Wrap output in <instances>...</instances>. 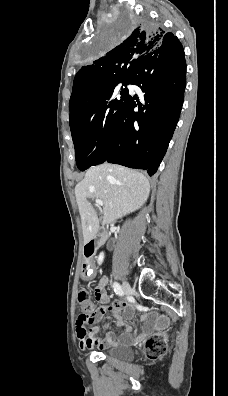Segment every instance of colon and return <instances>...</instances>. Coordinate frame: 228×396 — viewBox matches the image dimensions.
Wrapping results in <instances>:
<instances>
[{
  "mask_svg": "<svg viewBox=\"0 0 228 396\" xmlns=\"http://www.w3.org/2000/svg\"><path fill=\"white\" fill-rule=\"evenodd\" d=\"M77 302L80 308V315L78 323L82 326L90 324L93 321L96 308L90 293L86 290H81L77 296ZM145 348L148 356L151 359H158L166 353V337L159 334L150 337L146 343Z\"/></svg>",
  "mask_w": 228,
  "mask_h": 396,
  "instance_id": "colon-1",
  "label": "colon"
}]
</instances>
